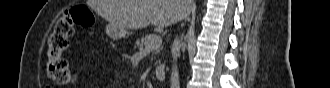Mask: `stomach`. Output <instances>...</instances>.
<instances>
[{
  "label": "stomach",
  "instance_id": "1",
  "mask_svg": "<svg viewBox=\"0 0 330 88\" xmlns=\"http://www.w3.org/2000/svg\"><path fill=\"white\" fill-rule=\"evenodd\" d=\"M114 34H116L117 35V33H115L114 31L112 32V35H114Z\"/></svg>",
  "mask_w": 330,
  "mask_h": 88
}]
</instances>
